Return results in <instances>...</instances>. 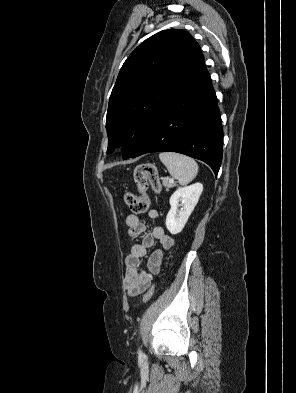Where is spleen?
<instances>
[{
	"label": "spleen",
	"instance_id": "1",
	"mask_svg": "<svg viewBox=\"0 0 296 393\" xmlns=\"http://www.w3.org/2000/svg\"><path fill=\"white\" fill-rule=\"evenodd\" d=\"M160 161L166 166L169 174L178 180L180 185L190 183L198 173V164L194 159L173 152L159 154Z\"/></svg>",
	"mask_w": 296,
	"mask_h": 393
}]
</instances>
